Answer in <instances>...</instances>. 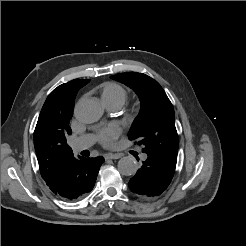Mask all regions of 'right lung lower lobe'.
I'll use <instances>...</instances> for the list:
<instances>
[{
    "mask_svg": "<svg viewBox=\"0 0 246 246\" xmlns=\"http://www.w3.org/2000/svg\"><path fill=\"white\" fill-rule=\"evenodd\" d=\"M103 162L102 156L74 158L59 171L48 186L61 199L67 201L81 199L93 189Z\"/></svg>",
    "mask_w": 246,
    "mask_h": 246,
    "instance_id": "right-lung-lower-lobe-1",
    "label": "right lung lower lobe"
}]
</instances>
